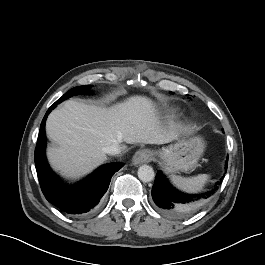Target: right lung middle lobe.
Wrapping results in <instances>:
<instances>
[{"instance_id": "obj_1", "label": "right lung middle lobe", "mask_w": 265, "mask_h": 265, "mask_svg": "<svg viewBox=\"0 0 265 265\" xmlns=\"http://www.w3.org/2000/svg\"><path fill=\"white\" fill-rule=\"evenodd\" d=\"M90 87H91L90 85L75 87V88L69 90L68 92H66L60 99H58L56 101V103L59 104L62 101L66 100L72 96L78 95V94H90V93H92V90H90Z\"/></svg>"}]
</instances>
